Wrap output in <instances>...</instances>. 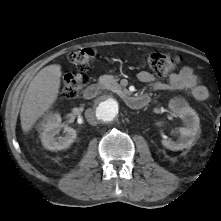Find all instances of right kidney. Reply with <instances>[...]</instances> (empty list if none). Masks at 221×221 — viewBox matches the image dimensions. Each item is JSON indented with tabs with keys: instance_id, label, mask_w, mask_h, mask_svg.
<instances>
[{
	"instance_id": "obj_1",
	"label": "right kidney",
	"mask_w": 221,
	"mask_h": 221,
	"mask_svg": "<svg viewBox=\"0 0 221 221\" xmlns=\"http://www.w3.org/2000/svg\"><path fill=\"white\" fill-rule=\"evenodd\" d=\"M64 130L65 135L57 137L60 129ZM41 142L48 150H62L69 147L76 138V131L61 123L60 114H49L41 125Z\"/></svg>"
}]
</instances>
